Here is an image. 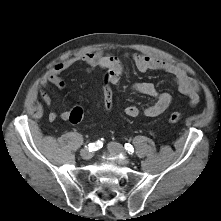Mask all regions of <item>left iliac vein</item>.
<instances>
[{
    "label": "left iliac vein",
    "mask_w": 221,
    "mask_h": 221,
    "mask_svg": "<svg viewBox=\"0 0 221 221\" xmlns=\"http://www.w3.org/2000/svg\"><path fill=\"white\" fill-rule=\"evenodd\" d=\"M108 151L113 155H122V158L118 159V164L127 165L130 163V159L125 155L124 148L119 143L111 142L108 144Z\"/></svg>",
    "instance_id": "1"
}]
</instances>
